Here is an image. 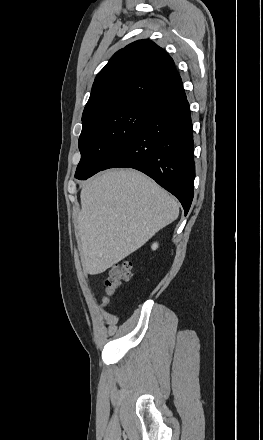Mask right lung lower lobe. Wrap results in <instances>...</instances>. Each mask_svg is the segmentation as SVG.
<instances>
[{
    "mask_svg": "<svg viewBox=\"0 0 263 440\" xmlns=\"http://www.w3.org/2000/svg\"><path fill=\"white\" fill-rule=\"evenodd\" d=\"M193 127L183 86L153 104L139 130L110 157L102 170L131 167L181 202L185 215L194 190Z\"/></svg>",
    "mask_w": 263,
    "mask_h": 440,
    "instance_id": "98d812e1",
    "label": "right lung lower lobe"
}]
</instances>
